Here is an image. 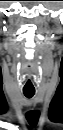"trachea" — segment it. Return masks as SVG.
<instances>
[{
    "label": "trachea",
    "mask_w": 63,
    "mask_h": 130,
    "mask_svg": "<svg viewBox=\"0 0 63 130\" xmlns=\"http://www.w3.org/2000/svg\"><path fill=\"white\" fill-rule=\"evenodd\" d=\"M24 96L28 99L32 98L34 96V92H23Z\"/></svg>",
    "instance_id": "3493384b"
}]
</instances>
